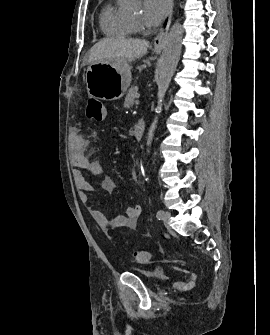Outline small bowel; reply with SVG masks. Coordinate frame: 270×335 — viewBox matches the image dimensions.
Instances as JSON below:
<instances>
[{
	"label": "small bowel",
	"instance_id": "small-bowel-1",
	"mask_svg": "<svg viewBox=\"0 0 270 335\" xmlns=\"http://www.w3.org/2000/svg\"><path fill=\"white\" fill-rule=\"evenodd\" d=\"M87 142L81 135L78 128H72L69 132V156L73 166V179L79 192L82 203H89V193L95 191L94 186L86 179L83 171L96 175L103 172L99 161L91 160L87 157L85 150ZM137 178L136 174H133ZM105 191L111 193L115 190L116 184L112 178L106 177L103 181ZM90 214L96 223L104 229H135L143 213L141 205L130 206L124 214H119L112 219H108L100 210L90 207Z\"/></svg>",
	"mask_w": 270,
	"mask_h": 335
}]
</instances>
